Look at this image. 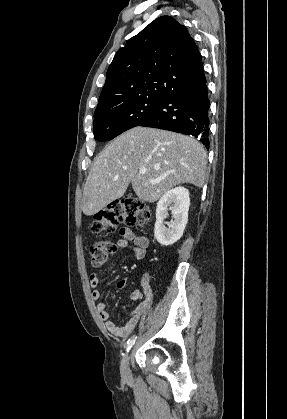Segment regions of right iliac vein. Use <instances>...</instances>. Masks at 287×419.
I'll list each match as a JSON object with an SVG mask.
<instances>
[{"label": "right iliac vein", "instance_id": "obj_1", "mask_svg": "<svg viewBox=\"0 0 287 419\" xmlns=\"http://www.w3.org/2000/svg\"><path fill=\"white\" fill-rule=\"evenodd\" d=\"M132 353L129 352L121 362V374L124 378L130 377V360H131Z\"/></svg>", "mask_w": 287, "mask_h": 419}]
</instances>
